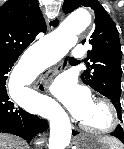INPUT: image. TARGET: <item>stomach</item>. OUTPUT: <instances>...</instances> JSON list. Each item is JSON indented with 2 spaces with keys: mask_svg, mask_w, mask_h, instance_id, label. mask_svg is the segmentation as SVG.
I'll list each match as a JSON object with an SVG mask.
<instances>
[{
  "mask_svg": "<svg viewBox=\"0 0 124 149\" xmlns=\"http://www.w3.org/2000/svg\"><path fill=\"white\" fill-rule=\"evenodd\" d=\"M77 145L78 149H115L112 139L97 138L84 133L77 136Z\"/></svg>",
  "mask_w": 124,
  "mask_h": 149,
  "instance_id": "stomach-1",
  "label": "stomach"
}]
</instances>
